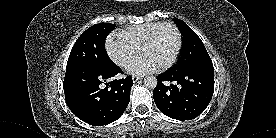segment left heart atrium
<instances>
[{
    "instance_id": "obj_1",
    "label": "left heart atrium",
    "mask_w": 276,
    "mask_h": 138,
    "mask_svg": "<svg viewBox=\"0 0 276 138\" xmlns=\"http://www.w3.org/2000/svg\"><path fill=\"white\" fill-rule=\"evenodd\" d=\"M160 65L150 56L142 55L133 60L127 67V71L135 75L152 73L160 69Z\"/></svg>"
}]
</instances>
